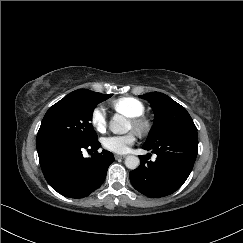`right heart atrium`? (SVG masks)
<instances>
[{"instance_id":"obj_1","label":"right heart atrium","mask_w":243,"mask_h":243,"mask_svg":"<svg viewBox=\"0 0 243 243\" xmlns=\"http://www.w3.org/2000/svg\"><path fill=\"white\" fill-rule=\"evenodd\" d=\"M92 126L99 132H103L107 128L106 112L101 106L93 108L90 116Z\"/></svg>"}]
</instances>
